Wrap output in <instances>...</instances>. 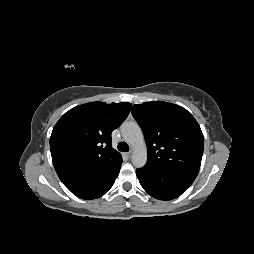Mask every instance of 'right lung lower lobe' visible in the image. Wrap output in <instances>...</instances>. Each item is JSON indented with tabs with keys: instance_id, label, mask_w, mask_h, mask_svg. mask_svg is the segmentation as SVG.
I'll return each instance as SVG.
<instances>
[{
	"instance_id": "obj_1",
	"label": "right lung lower lobe",
	"mask_w": 254,
	"mask_h": 254,
	"mask_svg": "<svg viewBox=\"0 0 254 254\" xmlns=\"http://www.w3.org/2000/svg\"><path fill=\"white\" fill-rule=\"evenodd\" d=\"M123 160L98 168L75 169L58 175L63 184L82 199L104 195L114 184Z\"/></svg>"
}]
</instances>
